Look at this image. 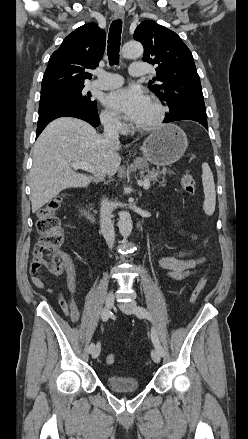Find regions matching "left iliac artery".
<instances>
[{"instance_id":"1","label":"left iliac artery","mask_w":248,"mask_h":439,"mask_svg":"<svg viewBox=\"0 0 248 439\" xmlns=\"http://www.w3.org/2000/svg\"><path fill=\"white\" fill-rule=\"evenodd\" d=\"M135 312H136L137 316L147 318L148 320L152 321V316L145 308L138 306L135 308ZM151 339H152V342H153L155 348L160 353V355L164 356L165 355L164 349L162 348V346L159 342L157 332L154 328L151 330Z\"/></svg>"}]
</instances>
